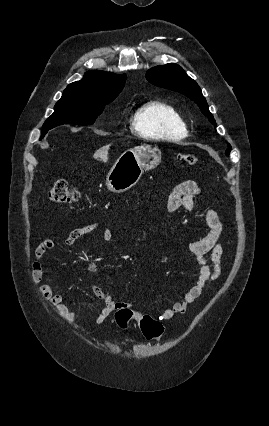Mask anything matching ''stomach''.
<instances>
[{"label": "stomach", "instance_id": "1", "mask_svg": "<svg viewBox=\"0 0 269 426\" xmlns=\"http://www.w3.org/2000/svg\"><path fill=\"white\" fill-rule=\"evenodd\" d=\"M161 161V151L156 146L143 144L127 150L119 157L106 178L108 190L122 193L140 180L144 171L154 169Z\"/></svg>", "mask_w": 269, "mask_h": 426}]
</instances>
